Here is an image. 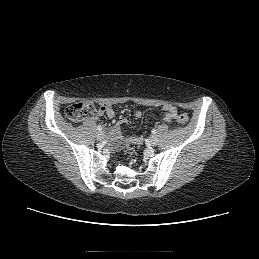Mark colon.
Listing matches in <instances>:
<instances>
[{"label":"colon","instance_id":"1","mask_svg":"<svg viewBox=\"0 0 259 259\" xmlns=\"http://www.w3.org/2000/svg\"><path fill=\"white\" fill-rule=\"evenodd\" d=\"M99 109L93 102L80 101L69 105L66 108L65 115L69 120L77 122L94 117L99 112ZM176 120L179 124L186 125L188 123V116L185 113H179L176 116Z\"/></svg>","mask_w":259,"mask_h":259}]
</instances>
